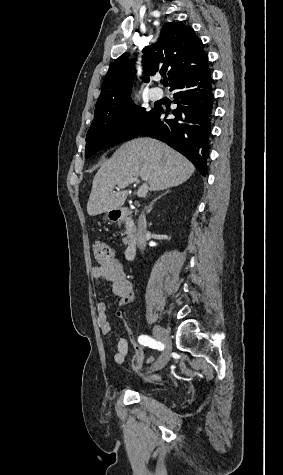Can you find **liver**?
Masks as SVG:
<instances>
[{
	"label": "liver",
	"instance_id": "obj_1",
	"mask_svg": "<svg viewBox=\"0 0 283 475\" xmlns=\"http://www.w3.org/2000/svg\"><path fill=\"white\" fill-rule=\"evenodd\" d=\"M194 166L169 148L164 142L152 138H135L126 142L114 152L112 158L101 166L92 184L87 204L89 216H97L102 212L119 210L128 192H113L116 186L126 178L140 176L148 182L150 190H166L180 186L194 174Z\"/></svg>",
	"mask_w": 283,
	"mask_h": 475
}]
</instances>
